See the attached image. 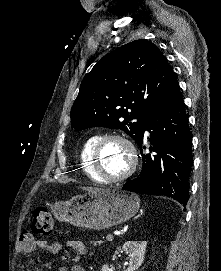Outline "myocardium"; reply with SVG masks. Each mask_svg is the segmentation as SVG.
Instances as JSON below:
<instances>
[{
  "instance_id": "1",
  "label": "myocardium",
  "mask_w": 221,
  "mask_h": 271,
  "mask_svg": "<svg viewBox=\"0 0 221 271\" xmlns=\"http://www.w3.org/2000/svg\"><path fill=\"white\" fill-rule=\"evenodd\" d=\"M107 134V137H100L96 138V145H93L94 150H92V156L91 160L92 165L95 168V172L98 173V175H101V178H103V183L101 184H114V183H124V178H128L134 170L139 167L138 162V146L132 145L131 142H129L130 137L119 131H109L105 132ZM109 142H117L119 145V150H126L125 153H123V160L126 164H129L128 170L124 172L121 175L111 176V177H105L106 173L102 170L101 160L99 158V155L102 154L101 150H105V145H108Z\"/></svg>"
}]
</instances>
